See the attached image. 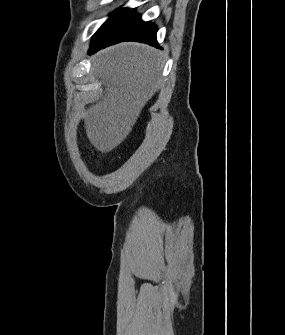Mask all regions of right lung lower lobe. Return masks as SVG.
I'll return each instance as SVG.
<instances>
[{"instance_id":"right-lung-lower-lobe-1","label":"right lung lower lobe","mask_w":285,"mask_h":335,"mask_svg":"<svg viewBox=\"0 0 285 335\" xmlns=\"http://www.w3.org/2000/svg\"><path fill=\"white\" fill-rule=\"evenodd\" d=\"M156 32V25L142 21L135 9H118L94 34L89 54L123 41H137L159 47Z\"/></svg>"}]
</instances>
